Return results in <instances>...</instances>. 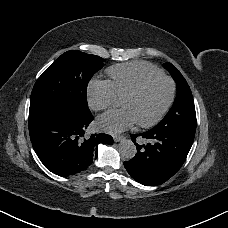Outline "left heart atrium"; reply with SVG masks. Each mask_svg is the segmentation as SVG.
I'll return each instance as SVG.
<instances>
[{"label": "left heart atrium", "instance_id": "left-heart-atrium-1", "mask_svg": "<svg viewBox=\"0 0 228 228\" xmlns=\"http://www.w3.org/2000/svg\"><path fill=\"white\" fill-rule=\"evenodd\" d=\"M122 118L125 121L121 122L120 119ZM99 121L103 124L105 130L120 132L130 126L135 121V117L130 109L125 108L120 111H111L102 116Z\"/></svg>", "mask_w": 228, "mask_h": 228}]
</instances>
